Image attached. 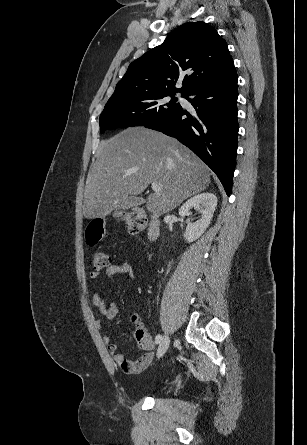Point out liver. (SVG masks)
Listing matches in <instances>:
<instances>
[{
    "label": "liver",
    "instance_id": "liver-1",
    "mask_svg": "<svg viewBox=\"0 0 307 445\" xmlns=\"http://www.w3.org/2000/svg\"><path fill=\"white\" fill-rule=\"evenodd\" d=\"M95 156L85 184V218L123 212L129 194H140L150 182L161 188L147 196V210L164 214L210 182L208 166L192 150L144 126H130L101 140Z\"/></svg>",
    "mask_w": 307,
    "mask_h": 445
}]
</instances>
